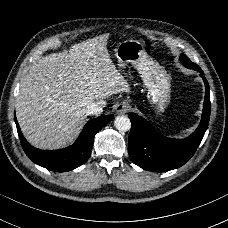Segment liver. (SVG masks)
I'll use <instances>...</instances> for the list:
<instances>
[{
    "instance_id": "obj_1",
    "label": "liver",
    "mask_w": 228,
    "mask_h": 228,
    "mask_svg": "<svg viewBox=\"0 0 228 228\" xmlns=\"http://www.w3.org/2000/svg\"><path fill=\"white\" fill-rule=\"evenodd\" d=\"M105 34L41 58L23 77L17 119L32 144L56 148L70 143L86 121L87 106L129 92V82L108 51Z\"/></svg>"
}]
</instances>
